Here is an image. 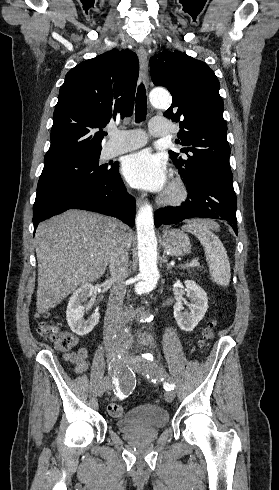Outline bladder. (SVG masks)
<instances>
[{"label": "bladder", "mask_w": 279, "mask_h": 490, "mask_svg": "<svg viewBox=\"0 0 279 490\" xmlns=\"http://www.w3.org/2000/svg\"><path fill=\"white\" fill-rule=\"evenodd\" d=\"M168 424V413L159 405H140L117 419L116 426L120 431L146 432L161 430Z\"/></svg>", "instance_id": "bladder-1"}]
</instances>
